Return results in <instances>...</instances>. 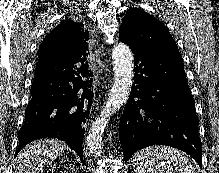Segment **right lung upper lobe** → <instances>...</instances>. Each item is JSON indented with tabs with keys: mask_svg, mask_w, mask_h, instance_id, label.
<instances>
[{
	"mask_svg": "<svg viewBox=\"0 0 219 173\" xmlns=\"http://www.w3.org/2000/svg\"><path fill=\"white\" fill-rule=\"evenodd\" d=\"M89 32L83 28V24L72 20H65L55 27L44 38L39 46V61H50L77 56L86 60Z\"/></svg>",
	"mask_w": 219,
	"mask_h": 173,
	"instance_id": "obj_1",
	"label": "right lung upper lobe"
}]
</instances>
